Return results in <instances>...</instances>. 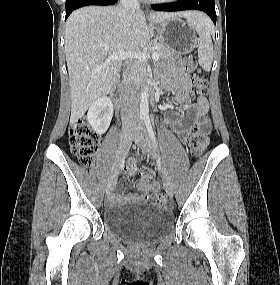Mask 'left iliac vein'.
Wrapping results in <instances>:
<instances>
[{
    "mask_svg": "<svg viewBox=\"0 0 280 285\" xmlns=\"http://www.w3.org/2000/svg\"><path fill=\"white\" fill-rule=\"evenodd\" d=\"M138 134L141 136V138L136 139L134 137V140L150 155L152 159L157 160L158 159L157 150L151 139L146 135V132L143 129L142 125H140ZM162 177H163V184L165 191L170 197H172L174 194L173 183L171 177L169 176L165 168H162Z\"/></svg>",
    "mask_w": 280,
    "mask_h": 285,
    "instance_id": "1",
    "label": "left iliac vein"
}]
</instances>
